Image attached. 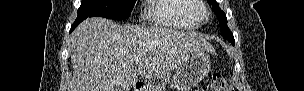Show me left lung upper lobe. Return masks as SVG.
Listing matches in <instances>:
<instances>
[{"label":"left lung upper lobe","instance_id":"left-lung-upper-lobe-1","mask_svg":"<svg viewBox=\"0 0 304 91\" xmlns=\"http://www.w3.org/2000/svg\"><path fill=\"white\" fill-rule=\"evenodd\" d=\"M207 1L210 5H212V9H213L214 13L219 18V25H220V30H221L222 36L225 39H227L229 42L234 44L235 40H234L233 34L227 26L226 14L219 8V5L216 2V0H207Z\"/></svg>","mask_w":304,"mask_h":91}]
</instances>
